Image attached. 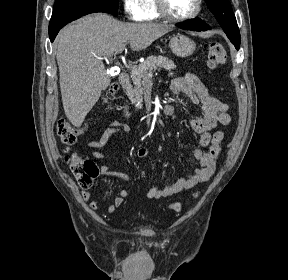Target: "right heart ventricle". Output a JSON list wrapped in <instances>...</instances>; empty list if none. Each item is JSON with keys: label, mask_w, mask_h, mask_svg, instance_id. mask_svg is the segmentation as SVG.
Masks as SVG:
<instances>
[{"label": "right heart ventricle", "mask_w": 288, "mask_h": 280, "mask_svg": "<svg viewBox=\"0 0 288 280\" xmlns=\"http://www.w3.org/2000/svg\"><path fill=\"white\" fill-rule=\"evenodd\" d=\"M160 18L155 0H144L143 21H153Z\"/></svg>", "instance_id": "obj_1"}]
</instances>
